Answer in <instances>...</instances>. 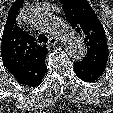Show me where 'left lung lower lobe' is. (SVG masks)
<instances>
[{
	"label": "left lung lower lobe",
	"mask_w": 113,
	"mask_h": 113,
	"mask_svg": "<svg viewBox=\"0 0 113 113\" xmlns=\"http://www.w3.org/2000/svg\"><path fill=\"white\" fill-rule=\"evenodd\" d=\"M74 70L76 75L83 81L93 82L102 76L104 70L92 65H87L82 62H76L74 64Z\"/></svg>",
	"instance_id": "obj_1"
}]
</instances>
